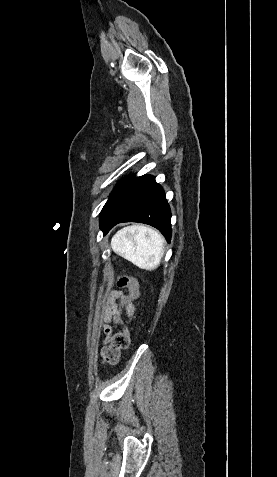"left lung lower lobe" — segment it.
I'll list each match as a JSON object with an SVG mask.
<instances>
[{
  "mask_svg": "<svg viewBox=\"0 0 277 477\" xmlns=\"http://www.w3.org/2000/svg\"><path fill=\"white\" fill-rule=\"evenodd\" d=\"M171 212L163 188L150 175L127 176L112 191L100 213L104 235L121 222H140L157 228L170 243Z\"/></svg>",
  "mask_w": 277,
  "mask_h": 477,
  "instance_id": "left-lung-lower-lobe-1",
  "label": "left lung lower lobe"
}]
</instances>
